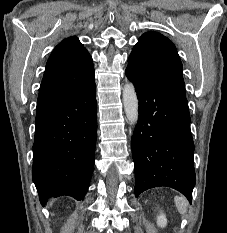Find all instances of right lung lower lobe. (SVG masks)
Here are the masks:
<instances>
[{"instance_id":"1","label":"right lung lower lobe","mask_w":227,"mask_h":233,"mask_svg":"<svg viewBox=\"0 0 227 233\" xmlns=\"http://www.w3.org/2000/svg\"><path fill=\"white\" fill-rule=\"evenodd\" d=\"M32 178L42 205L49 198H84L95 164V81L36 114Z\"/></svg>"}]
</instances>
